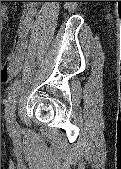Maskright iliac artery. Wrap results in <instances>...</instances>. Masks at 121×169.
<instances>
[{"mask_svg":"<svg viewBox=\"0 0 121 169\" xmlns=\"http://www.w3.org/2000/svg\"><path fill=\"white\" fill-rule=\"evenodd\" d=\"M20 84H21V81L19 79H16L14 83L12 84L9 94H8L6 109H5L6 119L8 122L14 118L16 97L20 89Z\"/></svg>","mask_w":121,"mask_h":169,"instance_id":"obj_1","label":"right iliac artery"}]
</instances>
